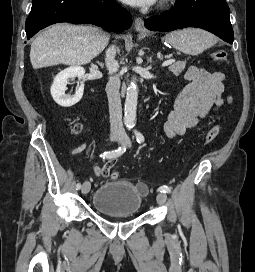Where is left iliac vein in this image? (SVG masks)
<instances>
[{"instance_id":"1","label":"left iliac vein","mask_w":255,"mask_h":272,"mask_svg":"<svg viewBox=\"0 0 255 272\" xmlns=\"http://www.w3.org/2000/svg\"><path fill=\"white\" fill-rule=\"evenodd\" d=\"M121 143L124 144V145H126V146H128V147H130L131 140H130V138L127 135H125V136L122 137ZM156 200H157V203L160 206L164 205L166 203V201H167V195H166V193L159 192L158 195H157V197H156Z\"/></svg>"}]
</instances>
